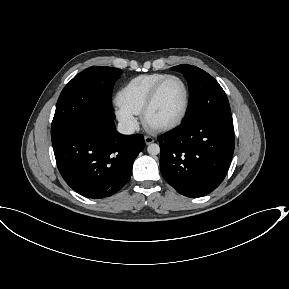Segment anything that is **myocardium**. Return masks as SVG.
Returning <instances> with one entry per match:
<instances>
[{
    "label": "myocardium",
    "instance_id": "myocardium-1",
    "mask_svg": "<svg viewBox=\"0 0 289 289\" xmlns=\"http://www.w3.org/2000/svg\"><path fill=\"white\" fill-rule=\"evenodd\" d=\"M171 79L178 80L184 88L185 99H184V105H183L182 111H181L180 115L172 122H169V123H166L163 125H151L148 121L149 112L152 109L162 86L167 81H169ZM189 105H190V90H189L188 84L186 83V81L182 77H180L178 75L169 74V75H166L161 80H159L154 85V87L151 89V91H150V93H149V95H148V97H147V99L143 105V108L141 111V118H142L144 125L152 131H155V132L169 131V130H172V129L178 127L184 121V119L187 115V112L189 110Z\"/></svg>",
    "mask_w": 289,
    "mask_h": 289
}]
</instances>
